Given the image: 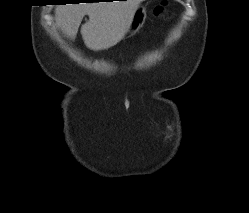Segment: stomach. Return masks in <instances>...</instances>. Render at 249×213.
<instances>
[{
	"mask_svg": "<svg viewBox=\"0 0 249 213\" xmlns=\"http://www.w3.org/2000/svg\"><path fill=\"white\" fill-rule=\"evenodd\" d=\"M146 19V10L143 6H138L134 12L129 32L135 34L144 24Z\"/></svg>",
	"mask_w": 249,
	"mask_h": 213,
	"instance_id": "0dacf381",
	"label": "stomach"
}]
</instances>
